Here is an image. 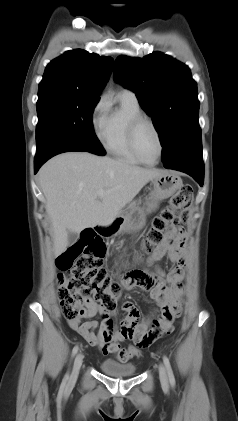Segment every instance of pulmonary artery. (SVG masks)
Returning <instances> with one entry per match:
<instances>
[{
	"mask_svg": "<svg viewBox=\"0 0 238 421\" xmlns=\"http://www.w3.org/2000/svg\"><path fill=\"white\" fill-rule=\"evenodd\" d=\"M121 94H123V95H125V96H127L131 99L137 100L135 93L131 90L124 89V90H122Z\"/></svg>",
	"mask_w": 238,
	"mask_h": 421,
	"instance_id": "obj_1",
	"label": "pulmonary artery"
}]
</instances>
